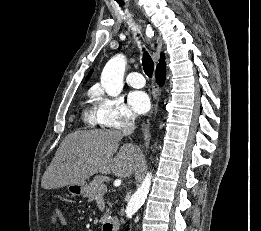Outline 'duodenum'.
I'll return each mask as SVG.
<instances>
[{
    "instance_id": "410a0bca",
    "label": "duodenum",
    "mask_w": 261,
    "mask_h": 231,
    "mask_svg": "<svg viewBox=\"0 0 261 231\" xmlns=\"http://www.w3.org/2000/svg\"><path fill=\"white\" fill-rule=\"evenodd\" d=\"M119 220L116 218H111L103 223L102 231H118Z\"/></svg>"
}]
</instances>
